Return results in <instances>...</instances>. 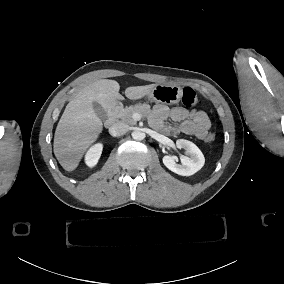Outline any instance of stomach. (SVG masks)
Listing matches in <instances>:
<instances>
[{
    "label": "stomach",
    "instance_id": "1",
    "mask_svg": "<svg viewBox=\"0 0 284 284\" xmlns=\"http://www.w3.org/2000/svg\"><path fill=\"white\" fill-rule=\"evenodd\" d=\"M149 100L165 105L179 103L182 98V89L180 86L168 84H156L148 95Z\"/></svg>",
    "mask_w": 284,
    "mask_h": 284
}]
</instances>
